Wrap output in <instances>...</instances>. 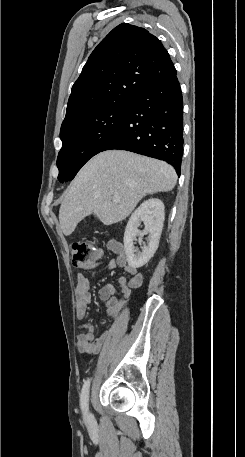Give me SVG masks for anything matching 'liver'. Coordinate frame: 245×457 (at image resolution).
Here are the masks:
<instances>
[{"label": "liver", "mask_w": 245, "mask_h": 457, "mask_svg": "<svg viewBox=\"0 0 245 457\" xmlns=\"http://www.w3.org/2000/svg\"><path fill=\"white\" fill-rule=\"evenodd\" d=\"M177 174L164 160L128 150H104L90 158L65 190L59 210L63 235L68 237L79 220L96 214L104 224H114L131 214L150 192L172 190ZM119 196L120 202H113Z\"/></svg>", "instance_id": "obj_1"}]
</instances>
